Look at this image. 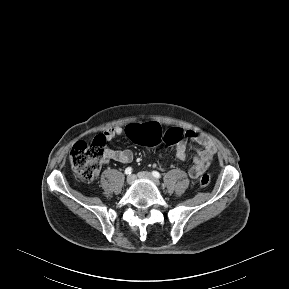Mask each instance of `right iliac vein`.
<instances>
[{"label": "right iliac vein", "instance_id": "right-iliac-vein-1", "mask_svg": "<svg viewBox=\"0 0 289 289\" xmlns=\"http://www.w3.org/2000/svg\"><path fill=\"white\" fill-rule=\"evenodd\" d=\"M135 180H136V176L135 175H130V176L127 177L126 181H127L128 184H133L135 182Z\"/></svg>", "mask_w": 289, "mask_h": 289}]
</instances>
